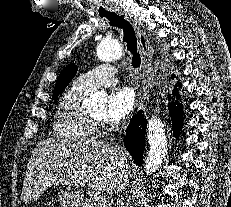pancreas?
I'll return each mask as SVG.
<instances>
[{
  "instance_id": "obj_1",
  "label": "pancreas",
  "mask_w": 231,
  "mask_h": 207,
  "mask_svg": "<svg viewBox=\"0 0 231 207\" xmlns=\"http://www.w3.org/2000/svg\"><path fill=\"white\" fill-rule=\"evenodd\" d=\"M82 207H104V202L97 201L95 197H90L82 203Z\"/></svg>"
}]
</instances>
